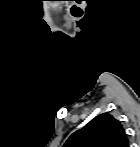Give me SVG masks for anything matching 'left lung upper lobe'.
<instances>
[{
    "mask_svg": "<svg viewBox=\"0 0 140 147\" xmlns=\"http://www.w3.org/2000/svg\"><path fill=\"white\" fill-rule=\"evenodd\" d=\"M64 147H129V141L122 124L103 113L74 132Z\"/></svg>",
    "mask_w": 140,
    "mask_h": 147,
    "instance_id": "5c2ea615",
    "label": "left lung upper lobe"
}]
</instances>
